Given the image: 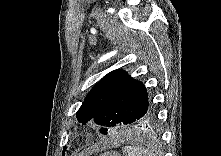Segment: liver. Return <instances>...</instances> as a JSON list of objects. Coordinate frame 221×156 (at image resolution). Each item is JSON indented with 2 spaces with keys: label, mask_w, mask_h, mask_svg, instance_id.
Wrapping results in <instances>:
<instances>
[{
  "label": "liver",
  "mask_w": 221,
  "mask_h": 156,
  "mask_svg": "<svg viewBox=\"0 0 221 156\" xmlns=\"http://www.w3.org/2000/svg\"><path fill=\"white\" fill-rule=\"evenodd\" d=\"M103 147L102 146H94V147H91L90 149H88V152H86V154H89L91 152H94V151H99L101 150Z\"/></svg>",
  "instance_id": "6515ba94"
}]
</instances>
